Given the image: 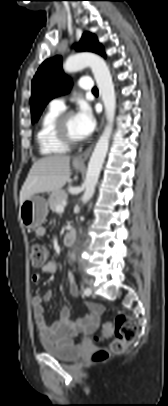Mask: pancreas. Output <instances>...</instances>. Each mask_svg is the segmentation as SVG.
I'll return each mask as SVG.
<instances>
[{
  "label": "pancreas",
  "instance_id": "obj_1",
  "mask_svg": "<svg viewBox=\"0 0 168 406\" xmlns=\"http://www.w3.org/2000/svg\"><path fill=\"white\" fill-rule=\"evenodd\" d=\"M67 202V194L64 190L52 193L49 197V206L53 212H56V206Z\"/></svg>",
  "mask_w": 168,
  "mask_h": 406
}]
</instances>
